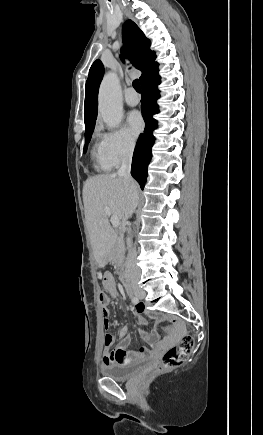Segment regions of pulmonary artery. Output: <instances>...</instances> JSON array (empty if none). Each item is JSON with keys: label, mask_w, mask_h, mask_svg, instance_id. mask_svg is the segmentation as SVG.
I'll use <instances>...</instances> for the list:
<instances>
[{"label": "pulmonary artery", "mask_w": 263, "mask_h": 435, "mask_svg": "<svg viewBox=\"0 0 263 435\" xmlns=\"http://www.w3.org/2000/svg\"><path fill=\"white\" fill-rule=\"evenodd\" d=\"M139 96L133 88H129L125 94V102L129 106H136L139 103Z\"/></svg>", "instance_id": "obj_1"}]
</instances>
